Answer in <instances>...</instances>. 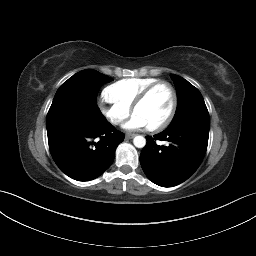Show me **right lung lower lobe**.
<instances>
[{
    "mask_svg": "<svg viewBox=\"0 0 256 256\" xmlns=\"http://www.w3.org/2000/svg\"><path fill=\"white\" fill-rule=\"evenodd\" d=\"M46 127L53 160L63 173L78 181L95 179L108 169L124 140V134L100 110L57 113L47 117Z\"/></svg>",
    "mask_w": 256,
    "mask_h": 256,
    "instance_id": "right-lung-lower-lobe-1",
    "label": "right lung lower lobe"
}]
</instances>
